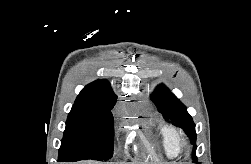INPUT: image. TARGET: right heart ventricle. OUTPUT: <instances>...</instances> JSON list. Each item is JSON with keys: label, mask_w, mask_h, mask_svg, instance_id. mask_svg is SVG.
<instances>
[{"label": "right heart ventricle", "mask_w": 251, "mask_h": 164, "mask_svg": "<svg viewBox=\"0 0 251 164\" xmlns=\"http://www.w3.org/2000/svg\"><path fill=\"white\" fill-rule=\"evenodd\" d=\"M150 125L154 129V136L164 153L170 158L175 157L177 154L174 146L177 138L175 127L161 117L150 120Z\"/></svg>", "instance_id": "1"}]
</instances>
